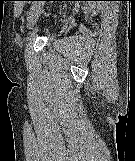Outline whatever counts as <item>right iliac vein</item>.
<instances>
[{
	"instance_id": "obj_1",
	"label": "right iliac vein",
	"mask_w": 135,
	"mask_h": 161,
	"mask_svg": "<svg viewBox=\"0 0 135 161\" xmlns=\"http://www.w3.org/2000/svg\"><path fill=\"white\" fill-rule=\"evenodd\" d=\"M43 9V4L41 3H35L29 12V15L27 17V29H32L35 24L37 23Z\"/></svg>"
}]
</instances>
